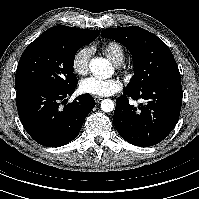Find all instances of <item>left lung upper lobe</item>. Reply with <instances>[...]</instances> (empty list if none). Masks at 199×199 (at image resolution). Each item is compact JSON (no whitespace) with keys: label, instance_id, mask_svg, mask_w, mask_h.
I'll list each match as a JSON object with an SVG mask.
<instances>
[{"label":"left lung upper lobe","instance_id":"5c2ea615","mask_svg":"<svg viewBox=\"0 0 199 199\" xmlns=\"http://www.w3.org/2000/svg\"><path fill=\"white\" fill-rule=\"evenodd\" d=\"M102 36L124 45L132 54L135 75L126 90L141 89L164 80L180 78L169 47L153 33L138 26L108 28Z\"/></svg>","mask_w":199,"mask_h":199}]
</instances>
